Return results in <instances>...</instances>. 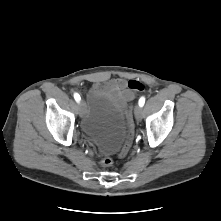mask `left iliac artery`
I'll return each mask as SVG.
<instances>
[{"label": "left iliac artery", "mask_w": 221, "mask_h": 221, "mask_svg": "<svg viewBox=\"0 0 221 221\" xmlns=\"http://www.w3.org/2000/svg\"><path fill=\"white\" fill-rule=\"evenodd\" d=\"M144 103H145V98L144 97H141L140 99H139V106H143L144 105Z\"/></svg>", "instance_id": "1"}]
</instances>
